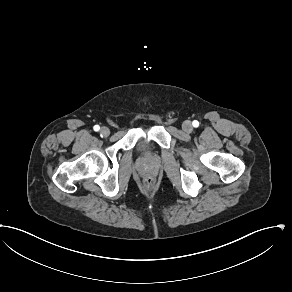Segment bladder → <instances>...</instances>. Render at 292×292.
I'll list each match as a JSON object with an SVG mask.
<instances>
[{
  "label": "bladder",
  "mask_w": 292,
  "mask_h": 292,
  "mask_svg": "<svg viewBox=\"0 0 292 292\" xmlns=\"http://www.w3.org/2000/svg\"><path fill=\"white\" fill-rule=\"evenodd\" d=\"M148 145H149V143H148V141H147L146 139H141V140H139V142H138V147H139V149H141V150L146 149V148L148 147Z\"/></svg>",
  "instance_id": "obj_1"
}]
</instances>
